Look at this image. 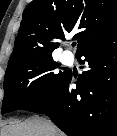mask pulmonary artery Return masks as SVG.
Here are the masks:
<instances>
[{
	"label": "pulmonary artery",
	"instance_id": "e3ab8cb5",
	"mask_svg": "<svg viewBox=\"0 0 117 136\" xmlns=\"http://www.w3.org/2000/svg\"><path fill=\"white\" fill-rule=\"evenodd\" d=\"M72 55L70 52L66 51L62 54V60L65 62V63H70L72 61Z\"/></svg>",
	"mask_w": 117,
	"mask_h": 136
}]
</instances>
